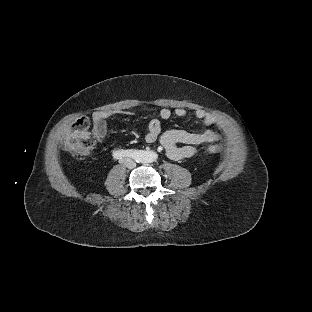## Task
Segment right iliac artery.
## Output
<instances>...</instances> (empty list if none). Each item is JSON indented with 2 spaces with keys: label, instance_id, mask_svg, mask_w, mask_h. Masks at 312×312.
Wrapping results in <instances>:
<instances>
[{
  "label": "right iliac artery",
  "instance_id": "obj_1",
  "mask_svg": "<svg viewBox=\"0 0 312 312\" xmlns=\"http://www.w3.org/2000/svg\"><path fill=\"white\" fill-rule=\"evenodd\" d=\"M129 155V152L128 151H124V150H116L113 152V157L116 158V159H122L126 156Z\"/></svg>",
  "mask_w": 312,
  "mask_h": 312
}]
</instances>
